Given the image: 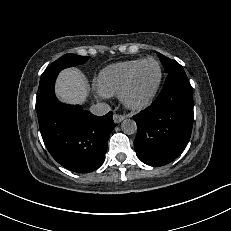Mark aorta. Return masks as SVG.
I'll use <instances>...</instances> for the list:
<instances>
[{
    "mask_svg": "<svg viewBox=\"0 0 231 231\" xmlns=\"http://www.w3.org/2000/svg\"><path fill=\"white\" fill-rule=\"evenodd\" d=\"M122 131L127 135H132L137 131L136 122L132 119H125L121 124Z\"/></svg>",
    "mask_w": 231,
    "mask_h": 231,
    "instance_id": "762f6f07",
    "label": "aorta"
}]
</instances>
